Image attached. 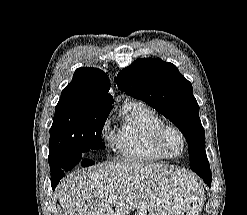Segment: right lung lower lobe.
Instances as JSON below:
<instances>
[{
    "label": "right lung lower lobe",
    "mask_w": 247,
    "mask_h": 215,
    "mask_svg": "<svg viewBox=\"0 0 247 215\" xmlns=\"http://www.w3.org/2000/svg\"><path fill=\"white\" fill-rule=\"evenodd\" d=\"M67 164H81L82 166H89L94 164V162L87 159L81 154L73 153L65 156L63 158V161L60 162L59 167L54 170H51V185L53 190L55 189L60 179L64 176V171H69L71 169L70 165Z\"/></svg>",
    "instance_id": "98d812e1"
}]
</instances>
